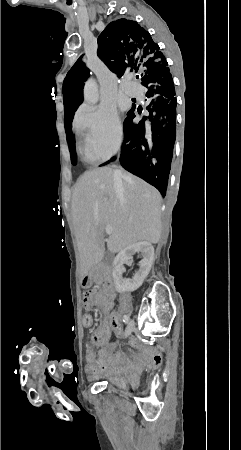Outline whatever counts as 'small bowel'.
Segmentation results:
<instances>
[{
  "instance_id": "c3829d8e",
  "label": "small bowel",
  "mask_w": 241,
  "mask_h": 450,
  "mask_svg": "<svg viewBox=\"0 0 241 450\" xmlns=\"http://www.w3.org/2000/svg\"><path fill=\"white\" fill-rule=\"evenodd\" d=\"M83 289L87 290L83 295V306L89 310L92 307H100L107 309L111 305L114 294L111 291L113 284L111 282H101L99 285L92 286L91 284H83ZM90 327L92 325H84ZM111 331L120 335L122 327L117 316L111 317L110 320L102 322L95 330L91 337V341L85 346V360L86 372L90 379H98L104 376H109L114 373H129L132 380H135L140 369L143 367L140 356H127L122 353H113L107 347L111 336ZM103 346L100 356L97 357L94 347ZM129 345L132 348H139L140 343L136 339H130ZM151 361L154 366H159L162 363V355L160 352H153Z\"/></svg>"
}]
</instances>
